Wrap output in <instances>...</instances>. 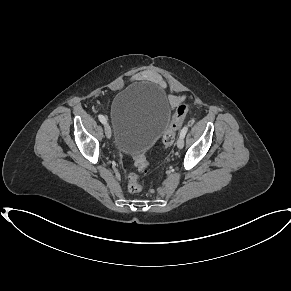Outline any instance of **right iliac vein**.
I'll return each instance as SVG.
<instances>
[{
	"mask_svg": "<svg viewBox=\"0 0 291 291\" xmlns=\"http://www.w3.org/2000/svg\"><path fill=\"white\" fill-rule=\"evenodd\" d=\"M104 130H105V134L107 138L110 139L112 136V133H111V128L107 123L104 124Z\"/></svg>",
	"mask_w": 291,
	"mask_h": 291,
	"instance_id": "63e3f726",
	"label": "right iliac vein"
}]
</instances>
